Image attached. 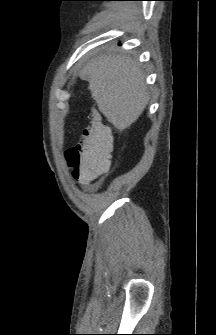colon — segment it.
Returning a JSON list of instances; mask_svg holds the SVG:
<instances>
[{
  "label": "colon",
  "instance_id": "colon-1",
  "mask_svg": "<svg viewBox=\"0 0 216 335\" xmlns=\"http://www.w3.org/2000/svg\"><path fill=\"white\" fill-rule=\"evenodd\" d=\"M110 135L109 127L95 116L84 129L80 142L66 151V162L76 178H100L101 172H111Z\"/></svg>",
  "mask_w": 216,
  "mask_h": 335
}]
</instances>
